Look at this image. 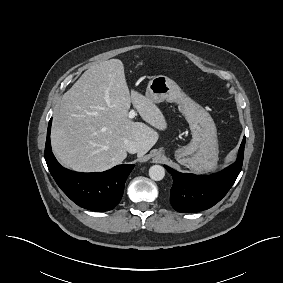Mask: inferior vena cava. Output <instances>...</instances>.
Returning <instances> with one entry per match:
<instances>
[{
    "instance_id": "602c4592",
    "label": "inferior vena cava",
    "mask_w": 283,
    "mask_h": 283,
    "mask_svg": "<svg viewBox=\"0 0 283 283\" xmlns=\"http://www.w3.org/2000/svg\"><path fill=\"white\" fill-rule=\"evenodd\" d=\"M124 148L127 152L131 154H135L139 151V146L135 141L132 140H125L124 141Z\"/></svg>"
}]
</instances>
